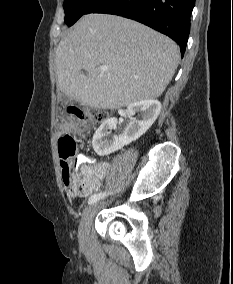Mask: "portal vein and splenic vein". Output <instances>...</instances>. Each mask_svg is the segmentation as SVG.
I'll list each match as a JSON object with an SVG mask.
<instances>
[{
    "mask_svg": "<svg viewBox=\"0 0 233 284\" xmlns=\"http://www.w3.org/2000/svg\"><path fill=\"white\" fill-rule=\"evenodd\" d=\"M100 70H102V71H107V70H108V67H107V66H105V65L100 66Z\"/></svg>",
    "mask_w": 233,
    "mask_h": 284,
    "instance_id": "1",
    "label": "portal vein and splenic vein"
}]
</instances>
